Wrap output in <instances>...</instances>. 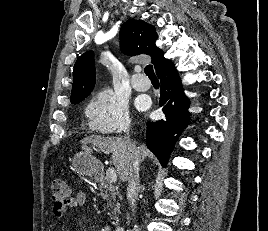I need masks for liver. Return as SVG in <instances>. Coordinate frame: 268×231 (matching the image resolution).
I'll use <instances>...</instances> for the list:
<instances>
[{"label": "liver", "instance_id": "liver-1", "mask_svg": "<svg viewBox=\"0 0 268 231\" xmlns=\"http://www.w3.org/2000/svg\"><path fill=\"white\" fill-rule=\"evenodd\" d=\"M82 144V149L89 152H92V150L87 145L92 144L93 146L99 147L105 153H111L116 173L122 181H126V174L132 165L131 149L133 147L139 151L141 160L146 156H152L151 152L144 144L137 147L135 142L119 137L104 138L97 135H91L84 138Z\"/></svg>", "mask_w": 268, "mask_h": 231}]
</instances>
